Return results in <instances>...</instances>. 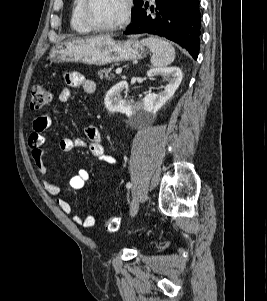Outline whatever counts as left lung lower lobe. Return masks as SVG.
<instances>
[{"mask_svg":"<svg viewBox=\"0 0 267 301\" xmlns=\"http://www.w3.org/2000/svg\"><path fill=\"white\" fill-rule=\"evenodd\" d=\"M199 0H156L147 12L143 3L124 34H151L165 37L189 51L194 59L199 54L201 14Z\"/></svg>","mask_w":267,"mask_h":301,"instance_id":"left-lung-lower-lobe-1","label":"left lung lower lobe"}]
</instances>
